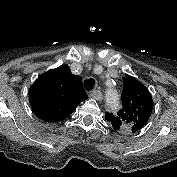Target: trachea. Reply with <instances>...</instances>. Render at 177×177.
Wrapping results in <instances>:
<instances>
[{
    "label": "trachea",
    "mask_w": 177,
    "mask_h": 177,
    "mask_svg": "<svg viewBox=\"0 0 177 177\" xmlns=\"http://www.w3.org/2000/svg\"><path fill=\"white\" fill-rule=\"evenodd\" d=\"M95 86V80L94 79H88L85 83V88L87 91H91Z\"/></svg>",
    "instance_id": "3493384b"
}]
</instances>
